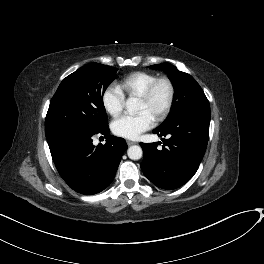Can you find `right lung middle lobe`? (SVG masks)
<instances>
[{
    "label": "right lung middle lobe",
    "mask_w": 264,
    "mask_h": 264,
    "mask_svg": "<svg viewBox=\"0 0 264 264\" xmlns=\"http://www.w3.org/2000/svg\"><path fill=\"white\" fill-rule=\"evenodd\" d=\"M117 70L90 63L67 76L51 99L45 120L46 135L66 129L97 132L108 125L102 96Z\"/></svg>",
    "instance_id": "1"
}]
</instances>
